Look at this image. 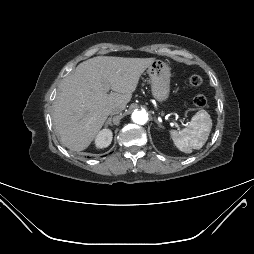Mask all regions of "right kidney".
Masks as SVG:
<instances>
[{"instance_id":"right-kidney-1","label":"right kidney","mask_w":254,"mask_h":254,"mask_svg":"<svg viewBox=\"0 0 254 254\" xmlns=\"http://www.w3.org/2000/svg\"><path fill=\"white\" fill-rule=\"evenodd\" d=\"M112 131L110 129L101 130L95 138V146L99 149L106 148L111 144Z\"/></svg>"}]
</instances>
